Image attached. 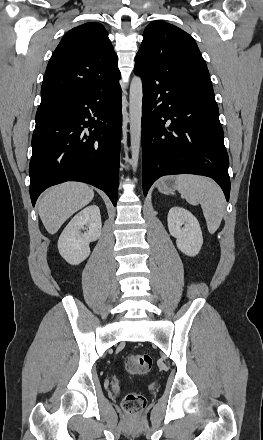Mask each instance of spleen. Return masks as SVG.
Here are the masks:
<instances>
[{
    "label": "spleen",
    "mask_w": 263,
    "mask_h": 440,
    "mask_svg": "<svg viewBox=\"0 0 263 440\" xmlns=\"http://www.w3.org/2000/svg\"><path fill=\"white\" fill-rule=\"evenodd\" d=\"M175 189L189 204L201 205L208 231L211 234L215 233L225 211V197L221 188L209 178L181 174L175 177Z\"/></svg>",
    "instance_id": "1"
}]
</instances>
